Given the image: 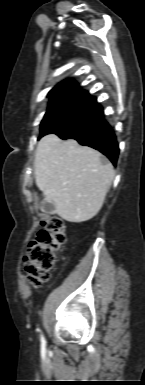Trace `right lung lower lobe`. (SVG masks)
<instances>
[{
  "mask_svg": "<svg viewBox=\"0 0 145 385\" xmlns=\"http://www.w3.org/2000/svg\"><path fill=\"white\" fill-rule=\"evenodd\" d=\"M56 134L62 139L72 138L81 145L99 150L116 165L119 147L115 134L104 120L102 108L98 103Z\"/></svg>",
  "mask_w": 145,
  "mask_h": 385,
  "instance_id": "obj_1",
  "label": "right lung lower lobe"
}]
</instances>
